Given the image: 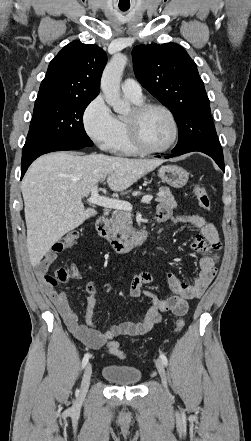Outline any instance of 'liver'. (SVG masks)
<instances>
[{
	"instance_id": "obj_1",
	"label": "liver",
	"mask_w": 251,
	"mask_h": 441,
	"mask_svg": "<svg viewBox=\"0 0 251 441\" xmlns=\"http://www.w3.org/2000/svg\"><path fill=\"white\" fill-rule=\"evenodd\" d=\"M162 159H128L104 154L55 152L36 159L22 181L27 226V249L32 266L66 233L97 212L84 208L98 182L107 177L112 191L129 188Z\"/></svg>"
}]
</instances>
